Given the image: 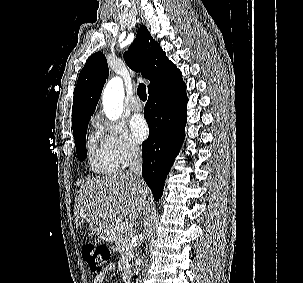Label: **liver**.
Listing matches in <instances>:
<instances>
[{
  "mask_svg": "<svg viewBox=\"0 0 303 283\" xmlns=\"http://www.w3.org/2000/svg\"><path fill=\"white\" fill-rule=\"evenodd\" d=\"M148 195L141 177L124 171L90 178L81 185L75 199L76 226L85 221H114L120 213L127 220H135Z\"/></svg>",
  "mask_w": 303,
  "mask_h": 283,
  "instance_id": "1",
  "label": "liver"
}]
</instances>
